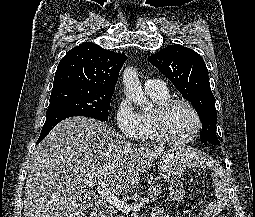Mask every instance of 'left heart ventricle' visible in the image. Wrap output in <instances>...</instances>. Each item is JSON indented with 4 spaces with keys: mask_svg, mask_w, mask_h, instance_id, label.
I'll use <instances>...</instances> for the list:
<instances>
[{
    "mask_svg": "<svg viewBox=\"0 0 255 217\" xmlns=\"http://www.w3.org/2000/svg\"><path fill=\"white\" fill-rule=\"evenodd\" d=\"M165 128L172 138H188L196 128L195 116L187 106L183 104L174 105L166 115Z\"/></svg>",
    "mask_w": 255,
    "mask_h": 217,
    "instance_id": "obj_1",
    "label": "left heart ventricle"
}]
</instances>
